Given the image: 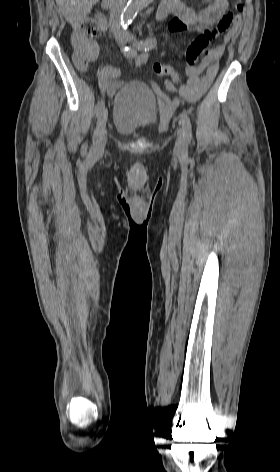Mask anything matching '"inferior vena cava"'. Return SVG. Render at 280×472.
I'll return each mask as SVG.
<instances>
[{
  "instance_id": "602c4592",
  "label": "inferior vena cava",
  "mask_w": 280,
  "mask_h": 472,
  "mask_svg": "<svg viewBox=\"0 0 280 472\" xmlns=\"http://www.w3.org/2000/svg\"><path fill=\"white\" fill-rule=\"evenodd\" d=\"M126 0H113L111 12H110V24L113 31H116L120 27V15L125 6Z\"/></svg>"
}]
</instances>
